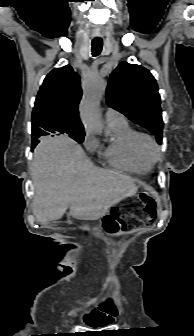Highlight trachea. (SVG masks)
<instances>
[{
    "label": "trachea",
    "instance_id": "trachea-1",
    "mask_svg": "<svg viewBox=\"0 0 194 336\" xmlns=\"http://www.w3.org/2000/svg\"><path fill=\"white\" fill-rule=\"evenodd\" d=\"M103 46V41L98 40V41H92V56L96 57L101 53Z\"/></svg>",
    "mask_w": 194,
    "mask_h": 336
}]
</instances>
